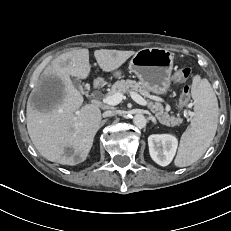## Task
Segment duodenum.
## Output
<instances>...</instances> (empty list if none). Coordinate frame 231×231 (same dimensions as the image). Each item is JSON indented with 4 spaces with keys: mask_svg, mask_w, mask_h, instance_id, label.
Listing matches in <instances>:
<instances>
[{
    "mask_svg": "<svg viewBox=\"0 0 231 231\" xmlns=\"http://www.w3.org/2000/svg\"><path fill=\"white\" fill-rule=\"evenodd\" d=\"M102 86V81L101 80H96L95 82H94V84H93V87L95 88V89H98V88H100Z\"/></svg>",
    "mask_w": 231,
    "mask_h": 231,
    "instance_id": "obj_1",
    "label": "duodenum"
}]
</instances>
